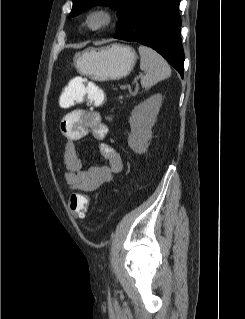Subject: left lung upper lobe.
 Listing matches in <instances>:
<instances>
[{
  "mask_svg": "<svg viewBox=\"0 0 245 319\" xmlns=\"http://www.w3.org/2000/svg\"><path fill=\"white\" fill-rule=\"evenodd\" d=\"M139 0H73V8L70 16H76L82 11L94 5L111 6L118 12L119 23L117 24L116 34L122 30L130 14Z\"/></svg>",
  "mask_w": 245,
  "mask_h": 319,
  "instance_id": "obj_1",
  "label": "left lung upper lobe"
}]
</instances>
